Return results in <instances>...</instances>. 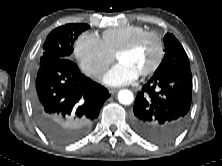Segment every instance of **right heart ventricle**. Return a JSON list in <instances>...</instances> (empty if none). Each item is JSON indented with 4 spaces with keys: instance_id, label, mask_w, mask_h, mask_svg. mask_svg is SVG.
Instances as JSON below:
<instances>
[{
    "instance_id": "right-heart-ventricle-1",
    "label": "right heart ventricle",
    "mask_w": 222,
    "mask_h": 166,
    "mask_svg": "<svg viewBox=\"0 0 222 166\" xmlns=\"http://www.w3.org/2000/svg\"><path fill=\"white\" fill-rule=\"evenodd\" d=\"M146 31L144 27L138 25L119 26L105 30L101 40L111 54H116L136 36Z\"/></svg>"
}]
</instances>
